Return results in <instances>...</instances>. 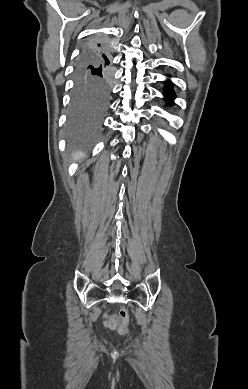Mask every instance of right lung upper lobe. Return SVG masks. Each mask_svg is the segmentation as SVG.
I'll return each instance as SVG.
<instances>
[{"label": "right lung upper lobe", "instance_id": "1", "mask_svg": "<svg viewBox=\"0 0 248 389\" xmlns=\"http://www.w3.org/2000/svg\"><path fill=\"white\" fill-rule=\"evenodd\" d=\"M88 47H91V50L93 52L92 55H90L91 57L95 59H100L104 63H110L106 56L107 47L104 43L93 42Z\"/></svg>", "mask_w": 248, "mask_h": 389}]
</instances>
